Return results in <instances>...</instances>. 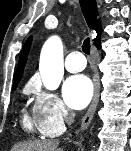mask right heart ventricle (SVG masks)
<instances>
[{"instance_id": "obj_1", "label": "right heart ventricle", "mask_w": 131, "mask_h": 151, "mask_svg": "<svg viewBox=\"0 0 131 151\" xmlns=\"http://www.w3.org/2000/svg\"><path fill=\"white\" fill-rule=\"evenodd\" d=\"M22 126L28 132H33L35 128H38L37 119L31 116L26 109L22 112Z\"/></svg>"}]
</instances>
